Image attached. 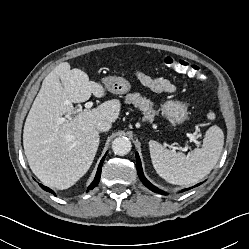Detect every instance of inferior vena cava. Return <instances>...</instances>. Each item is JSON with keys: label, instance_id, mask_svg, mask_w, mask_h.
<instances>
[{"label": "inferior vena cava", "instance_id": "602c4592", "mask_svg": "<svg viewBox=\"0 0 249 249\" xmlns=\"http://www.w3.org/2000/svg\"><path fill=\"white\" fill-rule=\"evenodd\" d=\"M96 128L100 132H106L110 130L111 123L106 120H101L96 124Z\"/></svg>", "mask_w": 249, "mask_h": 249}]
</instances>
